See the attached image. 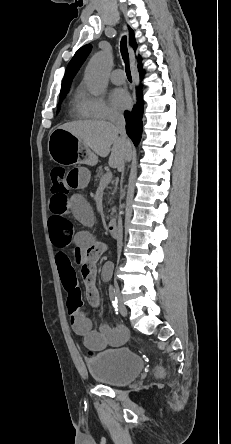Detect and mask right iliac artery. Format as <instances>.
Instances as JSON below:
<instances>
[{"instance_id":"right-iliac-artery-1","label":"right iliac artery","mask_w":231,"mask_h":444,"mask_svg":"<svg viewBox=\"0 0 231 444\" xmlns=\"http://www.w3.org/2000/svg\"><path fill=\"white\" fill-rule=\"evenodd\" d=\"M109 297H110L111 303L116 311V314H118V312H117L118 311V308H117L118 307L117 306L118 300H117L116 292H115V289L113 288V286L109 287Z\"/></svg>"}]
</instances>
